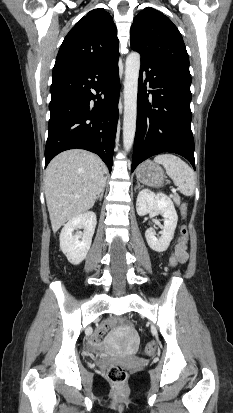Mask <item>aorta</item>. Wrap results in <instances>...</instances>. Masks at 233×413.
I'll return each instance as SVG.
<instances>
[{
	"mask_svg": "<svg viewBox=\"0 0 233 413\" xmlns=\"http://www.w3.org/2000/svg\"><path fill=\"white\" fill-rule=\"evenodd\" d=\"M140 59V54L137 52H131L126 58L123 119V144L125 151L131 149L136 131Z\"/></svg>",
	"mask_w": 233,
	"mask_h": 413,
	"instance_id": "aorta-1",
	"label": "aorta"
}]
</instances>
